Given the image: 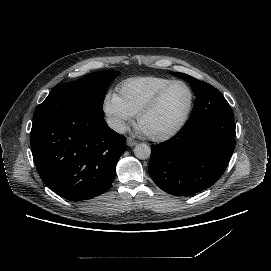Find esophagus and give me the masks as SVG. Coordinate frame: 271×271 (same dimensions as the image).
<instances>
[{"instance_id": "obj_1", "label": "esophagus", "mask_w": 271, "mask_h": 271, "mask_svg": "<svg viewBox=\"0 0 271 271\" xmlns=\"http://www.w3.org/2000/svg\"><path fill=\"white\" fill-rule=\"evenodd\" d=\"M137 144V141L136 140H133V139H131V138H127V145L129 146V147H133V146H135Z\"/></svg>"}]
</instances>
